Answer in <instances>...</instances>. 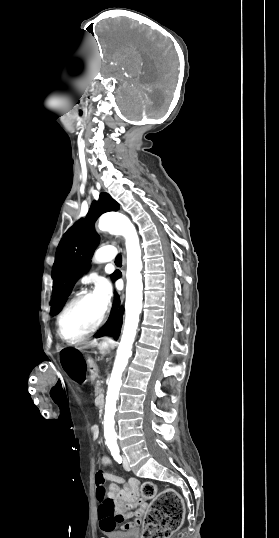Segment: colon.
Masks as SVG:
<instances>
[{
    "label": "colon",
    "mask_w": 279,
    "mask_h": 538,
    "mask_svg": "<svg viewBox=\"0 0 279 538\" xmlns=\"http://www.w3.org/2000/svg\"><path fill=\"white\" fill-rule=\"evenodd\" d=\"M105 475L102 472L95 474L96 496L98 500L99 516L112 517L115 514V505L105 486ZM142 497L151 500V505L145 517L143 538H169L181 525L184 516V503L177 491L165 489L157 493V487L146 482L141 487Z\"/></svg>",
    "instance_id": "1"
}]
</instances>
